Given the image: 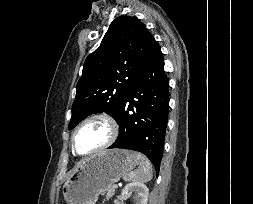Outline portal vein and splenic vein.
I'll list each match as a JSON object with an SVG mask.
<instances>
[{"label": "portal vein and splenic vein", "instance_id": "1", "mask_svg": "<svg viewBox=\"0 0 253 204\" xmlns=\"http://www.w3.org/2000/svg\"><path fill=\"white\" fill-rule=\"evenodd\" d=\"M113 187H114V188H118V185H117V184H114Z\"/></svg>", "mask_w": 253, "mask_h": 204}]
</instances>
